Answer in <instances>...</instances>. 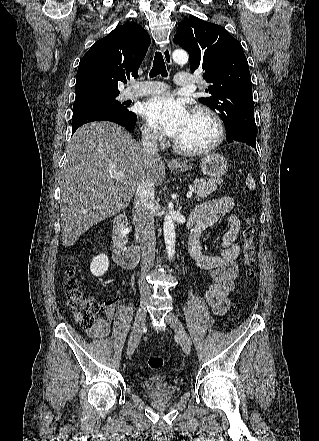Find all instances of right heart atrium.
I'll list each match as a JSON object with an SVG mask.
<instances>
[{"label": "right heart atrium", "instance_id": "d8ad5b80", "mask_svg": "<svg viewBox=\"0 0 319 441\" xmlns=\"http://www.w3.org/2000/svg\"><path fill=\"white\" fill-rule=\"evenodd\" d=\"M142 137L145 141L152 144H158L163 141L161 134L147 123L142 126Z\"/></svg>", "mask_w": 319, "mask_h": 441}]
</instances>
